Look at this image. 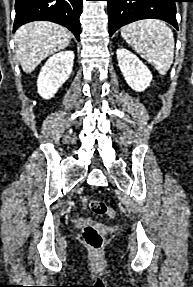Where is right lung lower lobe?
I'll return each instance as SVG.
<instances>
[{
  "label": "right lung lower lobe",
  "instance_id": "right-lung-lower-lobe-1",
  "mask_svg": "<svg viewBox=\"0 0 193 287\" xmlns=\"http://www.w3.org/2000/svg\"><path fill=\"white\" fill-rule=\"evenodd\" d=\"M14 29L28 22L46 20L59 23L80 37L82 0H16Z\"/></svg>",
  "mask_w": 193,
  "mask_h": 287
}]
</instances>
